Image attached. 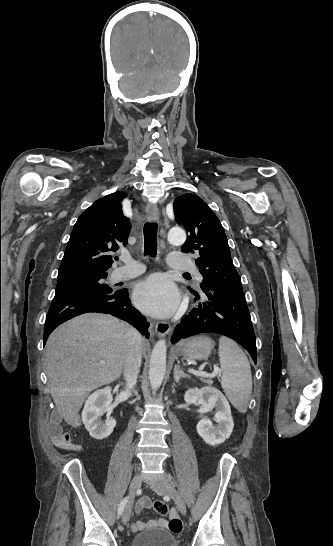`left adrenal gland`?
<instances>
[{
    "mask_svg": "<svg viewBox=\"0 0 333 546\" xmlns=\"http://www.w3.org/2000/svg\"><path fill=\"white\" fill-rule=\"evenodd\" d=\"M173 376H174V380H175L176 383H179V381H180L181 378H190L189 375L185 374V373L180 369L179 364H176V365H175Z\"/></svg>",
    "mask_w": 333,
    "mask_h": 546,
    "instance_id": "obj_1",
    "label": "left adrenal gland"
}]
</instances>
